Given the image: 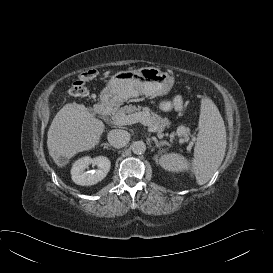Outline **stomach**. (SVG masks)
<instances>
[{
  "instance_id": "obj_1",
  "label": "stomach",
  "mask_w": 273,
  "mask_h": 273,
  "mask_svg": "<svg viewBox=\"0 0 273 273\" xmlns=\"http://www.w3.org/2000/svg\"><path fill=\"white\" fill-rule=\"evenodd\" d=\"M173 84V76L155 67L119 71L102 90L100 99L104 106L116 108L139 95L165 96L170 92Z\"/></svg>"
}]
</instances>
